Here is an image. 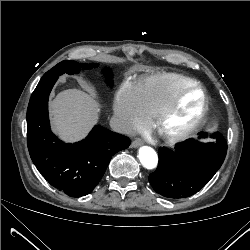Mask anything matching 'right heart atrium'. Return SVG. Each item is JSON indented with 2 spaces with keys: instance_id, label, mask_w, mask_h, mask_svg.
Segmentation results:
<instances>
[{
  "instance_id": "1",
  "label": "right heart atrium",
  "mask_w": 250,
  "mask_h": 250,
  "mask_svg": "<svg viewBox=\"0 0 250 250\" xmlns=\"http://www.w3.org/2000/svg\"><path fill=\"white\" fill-rule=\"evenodd\" d=\"M114 113L119 130L126 134L143 130L150 122L135 87L130 83H124L118 89Z\"/></svg>"
}]
</instances>
